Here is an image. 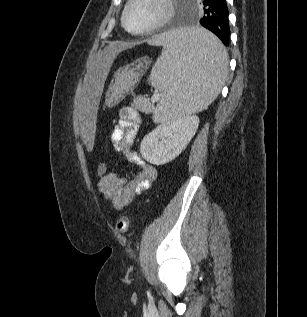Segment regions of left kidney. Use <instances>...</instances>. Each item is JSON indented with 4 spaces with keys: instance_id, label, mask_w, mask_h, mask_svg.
<instances>
[{
    "instance_id": "5707ae66",
    "label": "left kidney",
    "mask_w": 307,
    "mask_h": 317,
    "mask_svg": "<svg viewBox=\"0 0 307 317\" xmlns=\"http://www.w3.org/2000/svg\"><path fill=\"white\" fill-rule=\"evenodd\" d=\"M199 118L186 115L166 121L141 141L140 153L151 164L163 165L176 158L198 129Z\"/></svg>"
}]
</instances>
